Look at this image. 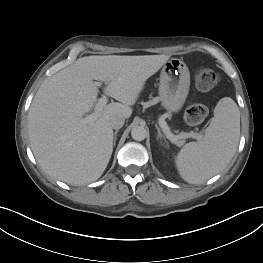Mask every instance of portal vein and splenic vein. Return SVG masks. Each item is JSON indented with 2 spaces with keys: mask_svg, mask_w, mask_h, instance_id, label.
<instances>
[{
  "mask_svg": "<svg viewBox=\"0 0 263 263\" xmlns=\"http://www.w3.org/2000/svg\"><path fill=\"white\" fill-rule=\"evenodd\" d=\"M96 86H101V82H96L95 83ZM108 102V98L107 96L103 95L98 102L95 104V108H94V112L88 116H86L85 118H82V122L85 124H92L95 120H97L98 115L100 114V112L103 110V108L106 106ZM161 129L163 130V132L165 133L166 137L172 142V143H176L178 136L174 135L170 128L168 127L167 123L165 122V120L163 118H160L158 121ZM186 137H191V138H195V139H201V135L194 133V132H190V133H186Z\"/></svg>",
  "mask_w": 263,
  "mask_h": 263,
  "instance_id": "portal-vein-and-splenic-vein-1",
  "label": "portal vein and splenic vein"
}]
</instances>
